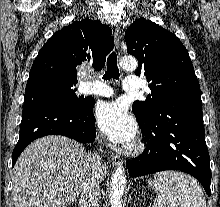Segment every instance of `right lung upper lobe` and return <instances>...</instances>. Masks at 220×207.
Here are the masks:
<instances>
[{
    "instance_id": "obj_1",
    "label": "right lung upper lobe",
    "mask_w": 220,
    "mask_h": 207,
    "mask_svg": "<svg viewBox=\"0 0 220 207\" xmlns=\"http://www.w3.org/2000/svg\"><path fill=\"white\" fill-rule=\"evenodd\" d=\"M112 30L99 20L82 19L59 30L40 49L31 67L27 85L54 79L77 84L76 67L90 61L99 71L113 49Z\"/></svg>"
}]
</instances>
